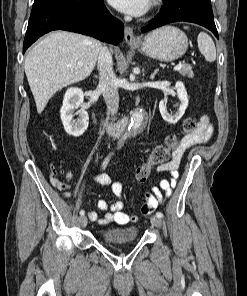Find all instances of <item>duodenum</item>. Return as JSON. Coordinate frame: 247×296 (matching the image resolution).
I'll return each mask as SVG.
<instances>
[{"label":"duodenum","instance_id":"1","mask_svg":"<svg viewBox=\"0 0 247 296\" xmlns=\"http://www.w3.org/2000/svg\"><path fill=\"white\" fill-rule=\"evenodd\" d=\"M107 123H108V126H109L110 130L112 131V133L115 136H120L127 129L130 121L128 118H125V119H122L117 122L107 121Z\"/></svg>","mask_w":247,"mask_h":296}]
</instances>
